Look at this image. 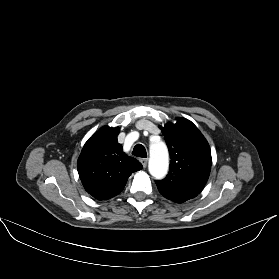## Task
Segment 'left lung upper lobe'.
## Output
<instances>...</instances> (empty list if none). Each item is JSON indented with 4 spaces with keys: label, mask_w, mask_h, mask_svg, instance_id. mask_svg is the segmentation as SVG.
Wrapping results in <instances>:
<instances>
[{
    "label": "left lung upper lobe",
    "mask_w": 279,
    "mask_h": 279,
    "mask_svg": "<svg viewBox=\"0 0 279 279\" xmlns=\"http://www.w3.org/2000/svg\"><path fill=\"white\" fill-rule=\"evenodd\" d=\"M162 133L170 153V171L156 185L165 198L183 203L196 197L209 178L210 147L197 127L185 118L167 123Z\"/></svg>",
    "instance_id": "left-lung-upper-lobe-1"
}]
</instances>
